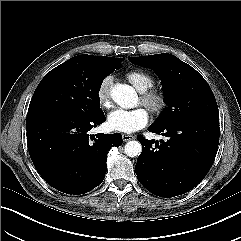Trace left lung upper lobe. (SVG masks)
I'll return each mask as SVG.
<instances>
[{
    "mask_svg": "<svg viewBox=\"0 0 241 241\" xmlns=\"http://www.w3.org/2000/svg\"><path fill=\"white\" fill-rule=\"evenodd\" d=\"M128 59L136 65L153 69L161 79L167 108L154 126L164 127L190 119L219 121L214 94L193 67L168 53Z\"/></svg>",
    "mask_w": 241,
    "mask_h": 241,
    "instance_id": "left-lung-upper-lobe-1",
    "label": "left lung upper lobe"
}]
</instances>
